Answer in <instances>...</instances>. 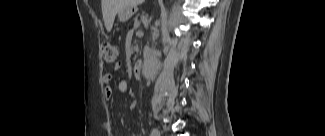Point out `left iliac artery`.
<instances>
[{
	"label": "left iliac artery",
	"mask_w": 325,
	"mask_h": 136,
	"mask_svg": "<svg viewBox=\"0 0 325 136\" xmlns=\"http://www.w3.org/2000/svg\"><path fill=\"white\" fill-rule=\"evenodd\" d=\"M151 136H160V132L158 131V129L154 128L151 132Z\"/></svg>",
	"instance_id": "obj_1"
}]
</instances>
